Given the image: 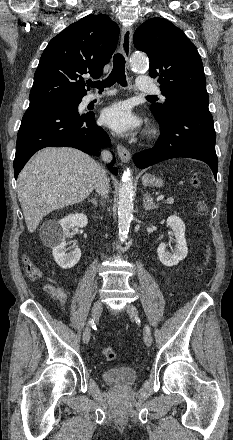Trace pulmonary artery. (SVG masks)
Listing matches in <instances>:
<instances>
[{
    "mask_svg": "<svg viewBox=\"0 0 233 440\" xmlns=\"http://www.w3.org/2000/svg\"><path fill=\"white\" fill-rule=\"evenodd\" d=\"M137 89L142 91V92H147V93H155L158 92V88L150 81H148V77L144 76V75H140L137 78V83H136ZM112 92H105L102 94H90L88 96V101H94L97 99H101L105 96H109L111 95ZM163 98V96H162Z\"/></svg>",
    "mask_w": 233,
    "mask_h": 440,
    "instance_id": "1",
    "label": "pulmonary artery"
}]
</instances>
